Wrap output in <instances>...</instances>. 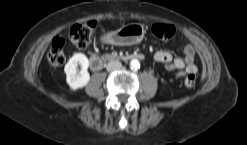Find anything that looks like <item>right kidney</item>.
I'll return each mask as SVG.
<instances>
[{
	"instance_id": "right-kidney-1",
	"label": "right kidney",
	"mask_w": 247,
	"mask_h": 145,
	"mask_svg": "<svg viewBox=\"0 0 247 145\" xmlns=\"http://www.w3.org/2000/svg\"><path fill=\"white\" fill-rule=\"evenodd\" d=\"M78 65H81V71L79 74H77ZM88 67V58L83 53L74 54L67 62L64 72L66 73V81L71 90L75 91L88 84L90 81V74L87 71Z\"/></svg>"
}]
</instances>
